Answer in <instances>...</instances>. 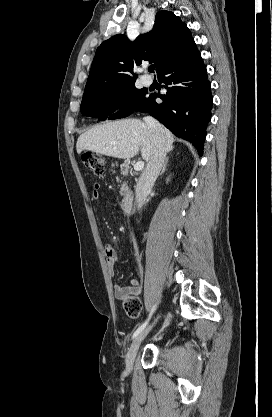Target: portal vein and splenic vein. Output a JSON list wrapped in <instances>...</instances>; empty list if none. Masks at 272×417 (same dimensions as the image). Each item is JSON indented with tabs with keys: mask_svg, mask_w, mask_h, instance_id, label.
I'll use <instances>...</instances> for the list:
<instances>
[{
	"mask_svg": "<svg viewBox=\"0 0 272 417\" xmlns=\"http://www.w3.org/2000/svg\"><path fill=\"white\" fill-rule=\"evenodd\" d=\"M143 168H144V162L143 161H138L134 165V170L135 171H141Z\"/></svg>",
	"mask_w": 272,
	"mask_h": 417,
	"instance_id": "18ae733b",
	"label": "portal vein and splenic vein"
}]
</instances>
